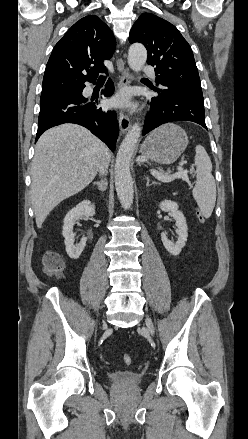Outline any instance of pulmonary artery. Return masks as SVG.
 Masks as SVG:
<instances>
[{
	"mask_svg": "<svg viewBox=\"0 0 248 439\" xmlns=\"http://www.w3.org/2000/svg\"><path fill=\"white\" fill-rule=\"evenodd\" d=\"M143 73L148 75L151 78H155L156 77L155 71L151 67H149V66H144L143 67Z\"/></svg>",
	"mask_w": 248,
	"mask_h": 439,
	"instance_id": "pulmonary-artery-1",
	"label": "pulmonary artery"
}]
</instances>
